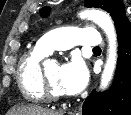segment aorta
<instances>
[{"label":"aorta","mask_w":131,"mask_h":115,"mask_svg":"<svg viewBox=\"0 0 131 115\" xmlns=\"http://www.w3.org/2000/svg\"><path fill=\"white\" fill-rule=\"evenodd\" d=\"M81 18H88L93 20L100 26L108 37L109 48L107 54V61L101 76L100 88L105 89L114 74L116 61H117V45H116V32L112 19L108 14L100 10H86L79 14Z\"/></svg>","instance_id":"obj_1"}]
</instances>
